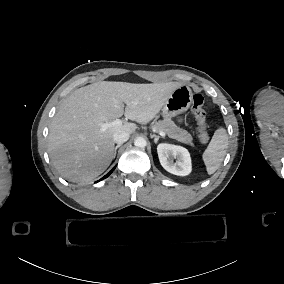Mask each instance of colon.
Masks as SVG:
<instances>
[{"label": "colon", "instance_id": "obj_1", "mask_svg": "<svg viewBox=\"0 0 284 284\" xmlns=\"http://www.w3.org/2000/svg\"><path fill=\"white\" fill-rule=\"evenodd\" d=\"M192 109L198 126V136L201 142L205 143L209 140V135L206 132L207 114L204 110V98L200 94H193Z\"/></svg>", "mask_w": 284, "mask_h": 284}]
</instances>
